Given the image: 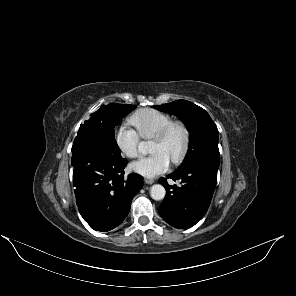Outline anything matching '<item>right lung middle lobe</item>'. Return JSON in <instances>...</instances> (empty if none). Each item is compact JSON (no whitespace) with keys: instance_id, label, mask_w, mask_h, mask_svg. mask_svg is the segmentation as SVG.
Here are the masks:
<instances>
[{"instance_id":"dd1d6c3e","label":"right lung middle lobe","mask_w":296,"mask_h":296,"mask_svg":"<svg viewBox=\"0 0 296 296\" xmlns=\"http://www.w3.org/2000/svg\"><path fill=\"white\" fill-rule=\"evenodd\" d=\"M135 108V105L118 103L103 105L92 114L89 120L80 126L77 135L80 137L94 136L111 148L114 154L120 155L121 151L115 140L114 127Z\"/></svg>"}]
</instances>
